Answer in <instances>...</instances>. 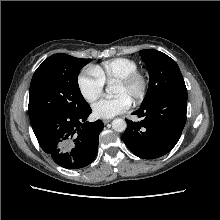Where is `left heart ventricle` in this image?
Returning <instances> with one entry per match:
<instances>
[{
  "instance_id": "obj_1",
  "label": "left heart ventricle",
  "mask_w": 220,
  "mask_h": 220,
  "mask_svg": "<svg viewBox=\"0 0 220 220\" xmlns=\"http://www.w3.org/2000/svg\"><path fill=\"white\" fill-rule=\"evenodd\" d=\"M137 90H138L137 85L132 86V87H123L120 85H115L114 95H116V96L124 95V96L128 97L130 100H132V98L136 94Z\"/></svg>"
}]
</instances>
